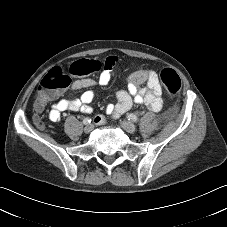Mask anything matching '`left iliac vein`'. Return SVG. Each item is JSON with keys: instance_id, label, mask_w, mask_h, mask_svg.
I'll use <instances>...</instances> for the list:
<instances>
[{"instance_id": "1", "label": "left iliac vein", "mask_w": 227, "mask_h": 227, "mask_svg": "<svg viewBox=\"0 0 227 227\" xmlns=\"http://www.w3.org/2000/svg\"><path fill=\"white\" fill-rule=\"evenodd\" d=\"M121 127L129 133H135L137 131V127L129 121L121 122Z\"/></svg>"}]
</instances>
